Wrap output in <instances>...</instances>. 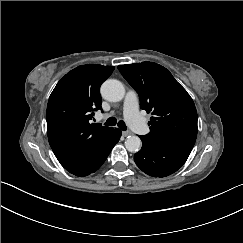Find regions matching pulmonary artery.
<instances>
[{
    "label": "pulmonary artery",
    "mask_w": 243,
    "mask_h": 243,
    "mask_svg": "<svg viewBox=\"0 0 243 243\" xmlns=\"http://www.w3.org/2000/svg\"><path fill=\"white\" fill-rule=\"evenodd\" d=\"M140 113V102L139 96L137 92L133 89H128L124 101H123V116L126 121L130 120L131 118H135ZM95 117L98 120L104 118L102 113H97Z\"/></svg>",
    "instance_id": "obj_1"
}]
</instances>
